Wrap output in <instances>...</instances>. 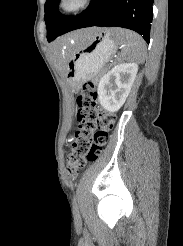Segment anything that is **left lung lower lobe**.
I'll return each mask as SVG.
<instances>
[{"instance_id":"0a47b994","label":"left lung lower lobe","mask_w":183,"mask_h":246,"mask_svg":"<svg viewBox=\"0 0 183 246\" xmlns=\"http://www.w3.org/2000/svg\"><path fill=\"white\" fill-rule=\"evenodd\" d=\"M153 2L154 0H91L85 11L70 19L60 35L85 27L117 26L136 31L149 43Z\"/></svg>"}]
</instances>
